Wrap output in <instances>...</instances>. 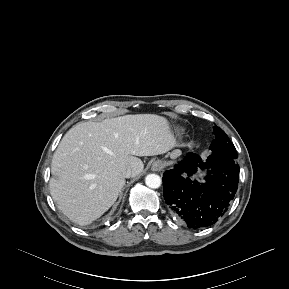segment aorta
<instances>
[{"label": "aorta", "instance_id": "aorta-1", "mask_svg": "<svg viewBox=\"0 0 289 289\" xmlns=\"http://www.w3.org/2000/svg\"><path fill=\"white\" fill-rule=\"evenodd\" d=\"M145 184L152 189H157L161 185V178L157 174H149L145 178Z\"/></svg>", "mask_w": 289, "mask_h": 289}]
</instances>
